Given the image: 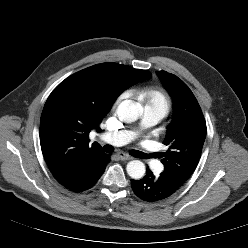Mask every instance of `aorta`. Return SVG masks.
I'll return each mask as SVG.
<instances>
[{
  "label": "aorta",
  "instance_id": "762f6f07",
  "mask_svg": "<svg viewBox=\"0 0 248 248\" xmlns=\"http://www.w3.org/2000/svg\"><path fill=\"white\" fill-rule=\"evenodd\" d=\"M118 118L126 123L135 122L141 116V107L132 100L122 101L117 110ZM128 175L133 179H141L145 174V165L139 160L130 161L126 167Z\"/></svg>",
  "mask_w": 248,
  "mask_h": 248
}]
</instances>
